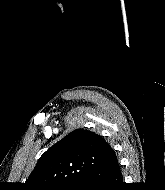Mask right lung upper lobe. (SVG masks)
<instances>
[{
  "mask_svg": "<svg viewBox=\"0 0 165 190\" xmlns=\"http://www.w3.org/2000/svg\"><path fill=\"white\" fill-rule=\"evenodd\" d=\"M115 152L99 135L77 129L50 147L28 177L26 190H48L81 181L84 174L114 158Z\"/></svg>",
  "mask_w": 165,
  "mask_h": 190,
  "instance_id": "obj_1",
  "label": "right lung upper lobe"
}]
</instances>
